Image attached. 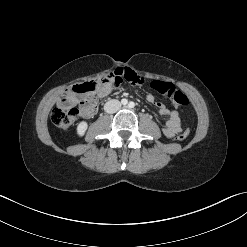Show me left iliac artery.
<instances>
[{
  "label": "left iliac artery",
  "mask_w": 247,
  "mask_h": 247,
  "mask_svg": "<svg viewBox=\"0 0 247 247\" xmlns=\"http://www.w3.org/2000/svg\"><path fill=\"white\" fill-rule=\"evenodd\" d=\"M128 106L130 107V108H133L134 106H135V104H134V102H129V104H128Z\"/></svg>",
  "instance_id": "44dca946"
}]
</instances>
